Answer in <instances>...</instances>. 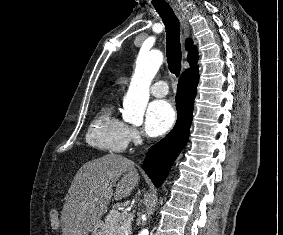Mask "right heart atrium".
<instances>
[{
  "mask_svg": "<svg viewBox=\"0 0 283 235\" xmlns=\"http://www.w3.org/2000/svg\"><path fill=\"white\" fill-rule=\"evenodd\" d=\"M127 137H128V141L134 144H137L138 142H140L142 134L141 131L134 126H128L127 127Z\"/></svg>",
  "mask_w": 283,
  "mask_h": 235,
  "instance_id": "1",
  "label": "right heart atrium"
}]
</instances>
